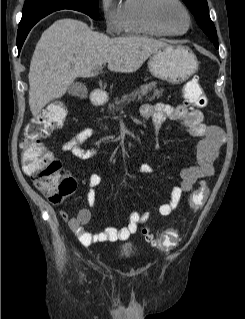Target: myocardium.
I'll return each mask as SVG.
<instances>
[{
  "label": "myocardium",
  "mask_w": 245,
  "mask_h": 319,
  "mask_svg": "<svg viewBox=\"0 0 245 319\" xmlns=\"http://www.w3.org/2000/svg\"><path fill=\"white\" fill-rule=\"evenodd\" d=\"M175 4L177 5L185 14L187 24L184 30L174 31L172 30L162 18L161 11L166 4ZM149 18L151 22L166 35L179 36L185 34L191 27V15L187 7L181 2V0H152L149 5Z\"/></svg>",
  "instance_id": "f54148a6"
}]
</instances>
